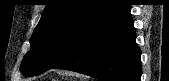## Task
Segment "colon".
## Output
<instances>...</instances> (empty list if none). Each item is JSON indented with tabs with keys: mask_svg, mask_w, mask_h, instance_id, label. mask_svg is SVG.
Returning a JSON list of instances; mask_svg holds the SVG:
<instances>
[{
	"mask_svg": "<svg viewBox=\"0 0 169 81\" xmlns=\"http://www.w3.org/2000/svg\"><path fill=\"white\" fill-rule=\"evenodd\" d=\"M47 81H54L53 79H48Z\"/></svg>",
	"mask_w": 169,
	"mask_h": 81,
	"instance_id": "colon-1",
	"label": "colon"
}]
</instances>
